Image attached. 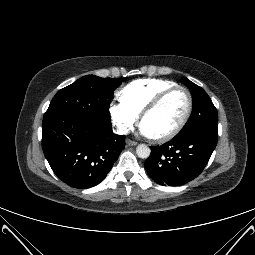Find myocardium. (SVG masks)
I'll return each instance as SVG.
<instances>
[{"instance_id":"obj_1","label":"myocardium","mask_w":255,"mask_h":255,"mask_svg":"<svg viewBox=\"0 0 255 255\" xmlns=\"http://www.w3.org/2000/svg\"><path fill=\"white\" fill-rule=\"evenodd\" d=\"M181 90L183 92H185L186 96H187V109L186 112L183 116V118L181 119V121L179 122V124L172 129L171 131H169L168 133L161 135V136H156L153 137L154 140L158 141V142H166L172 138H174L176 135H178L181 130L185 127V125L187 124L191 114H192V110H193V96L192 93L190 92V90L184 86H180V85H175L173 87H170L164 91H162L161 93H159L142 111L141 113V123H143V121L145 120V118L151 113L153 112L156 108H158L160 106V104L165 100V98H167L170 94H172L175 91Z\"/></svg>"}]
</instances>
